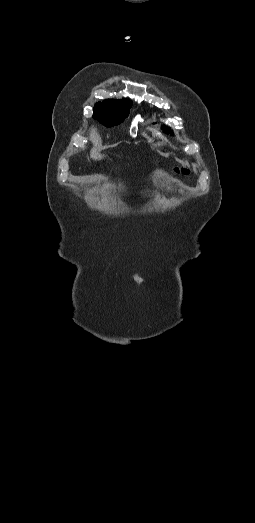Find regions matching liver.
<instances>
[{
  "mask_svg": "<svg viewBox=\"0 0 255 523\" xmlns=\"http://www.w3.org/2000/svg\"><path fill=\"white\" fill-rule=\"evenodd\" d=\"M90 138L94 144V148H92L90 152L92 160H102L103 156L102 154H99L100 150H98V148H101L102 146V140L95 128L91 130Z\"/></svg>",
  "mask_w": 255,
  "mask_h": 523,
  "instance_id": "liver-1",
  "label": "liver"
}]
</instances>
